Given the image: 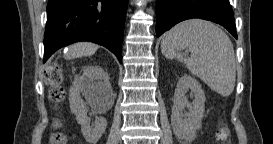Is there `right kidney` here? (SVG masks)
<instances>
[{"label":"right kidney","mask_w":273,"mask_h":144,"mask_svg":"<svg viewBox=\"0 0 273 144\" xmlns=\"http://www.w3.org/2000/svg\"><path fill=\"white\" fill-rule=\"evenodd\" d=\"M83 93L89 101H104L113 96L108 75L99 66H86L83 75L74 84L69 93L70 109L81 125V132L87 142L96 144L105 132L107 121L98 117L94 127H90L85 103L81 98Z\"/></svg>","instance_id":"obj_1"}]
</instances>
